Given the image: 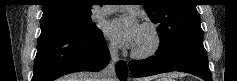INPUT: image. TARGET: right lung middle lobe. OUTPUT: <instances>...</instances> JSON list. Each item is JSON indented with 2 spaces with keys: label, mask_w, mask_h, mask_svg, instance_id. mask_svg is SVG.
Returning <instances> with one entry per match:
<instances>
[{
  "label": "right lung middle lobe",
  "mask_w": 237,
  "mask_h": 81,
  "mask_svg": "<svg viewBox=\"0 0 237 81\" xmlns=\"http://www.w3.org/2000/svg\"><path fill=\"white\" fill-rule=\"evenodd\" d=\"M42 30H59L78 35L95 37L102 34L101 30L92 23L91 15L87 16H58L40 20Z\"/></svg>",
  "instance_id": "dd1d6c3e"
}]
</instances>
